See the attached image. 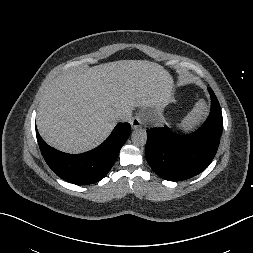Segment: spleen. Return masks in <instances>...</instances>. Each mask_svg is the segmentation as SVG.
<instances>
[{
  "label": "spleen",
  "mask_w": 253,
  "mask_h": 253,
  "mask_svg": "<svg viewBox=\"0 0 253 253\" xmlns=\"http://www.w3.org/2000/svg\"><path fill=\"white\" fill-rule=\"evenodd\" d=\"M208 114V106L204 100L198 101L192 111L182 120L177 128L183 132L193 130Z\"/></svg>",
  "instance_id": "spleen-1"
}]
</instances>
